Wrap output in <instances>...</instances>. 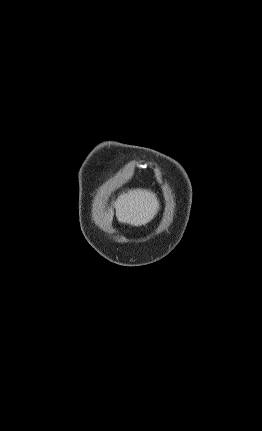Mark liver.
Returning <instances> with one entry per match:
<instances>
[{"label": "liver", "instance_id": "6515ba94", "mask_svg": "<svg viewBox=\"0 0 262 431\" xmlns=\"http://www.w3.org/2000/svg\"><path fill=\"white\" fill-rule=\"evenodd\" d=\"M116 216L120 223L132 226L146 225L154 219L159 211L156 195L148 190H129L119 196L115 202ZM113 218L112 211L108 214V222Z\"/></svg>", "mask_w": 262, "mask_h": 431}]
</instances>
